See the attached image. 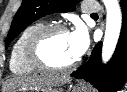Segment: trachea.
Listing matches in <instances>:
<instances>
[{"label": "trachea", "instance_id": "1", "mask_svg": "<svg viewBox=\"0 0 127 92\" xmlns=\"http://www.w3.org/2000/svg\"><path fill=\"white\" fill-rule=\"evenodd\" d=\"M91 16H98V14L97 13H92Z\"/></svg>", "mask_w": 127, "mask_h": 92}]
</instances>
